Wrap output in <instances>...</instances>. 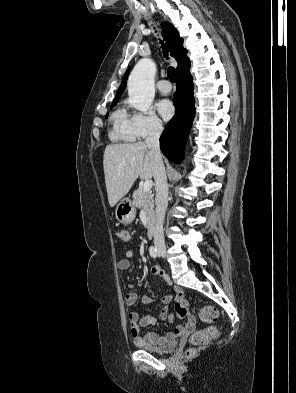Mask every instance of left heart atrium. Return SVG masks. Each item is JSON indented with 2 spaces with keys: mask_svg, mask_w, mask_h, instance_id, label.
<instances>
[{
  "mask_svg": "<svg viewBox=\"0 0 296 393\" xmlns=\"http://www.w3.org/2000/svg\"><path fill=\"white\" fill-rule=\"evenodd\" d=\"M157 111L164 120H169L175 113L173 103L169 99H162L156 104Z\"/></svg>",
  "mask_w": 296,
  "mask_h": 393,
  "instance_id": "left-heart-atrium-1",
  "label": "left heart atrium"
}]
</instances>
